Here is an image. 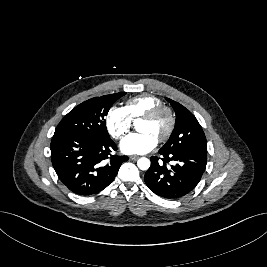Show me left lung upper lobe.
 Masks as SVG:
<instances>
[{
  "label": "left lung upper lobe",
  "mask_w": 267,
  "mask_h": 267,
  "mask_svg": "<svg viewBox=\"0 0 267 267\" xmlns=\"http://www.w3.org/2000/svg\"><path fill=\"white\" fill-rule=\"evenodd\" d=\"M166 100L175 110L176 124L169 140L160 151L195 150L207 153L206 137L195 116L178 102L168 98Z\"/></svg>",
  "instance_id": "5c2ea615"
}]
</instances>
